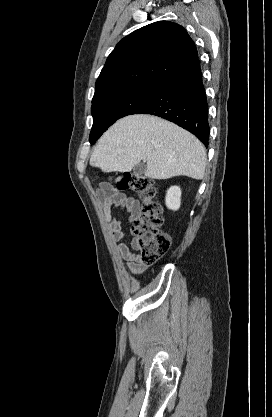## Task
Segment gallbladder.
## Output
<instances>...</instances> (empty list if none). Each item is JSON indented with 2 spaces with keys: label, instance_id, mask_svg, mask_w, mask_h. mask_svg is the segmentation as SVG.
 <instances>
[{
  "label": "gallbladder",
  "instance_id": "1",
  "mask_svg": "<svg viewBox=\"0 0 272 417\" xmlns=\"http://www.w3.org/2000/svg\"><path fill=\"white\" fill-rule=\"evenodd\" d=\"M146 171V164L145 163H139L136 166L133 167V174L135 176H141Z\"/></svg>",
  "mask_w": 272,
  "mask_h": 417
}]
</instances>
